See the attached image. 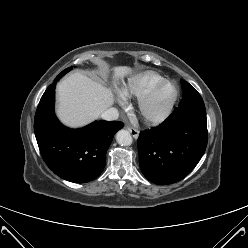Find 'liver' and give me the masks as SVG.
<instances>
[{
  "mask_svg": "<svg viewBox=\"0 0 248 248\" xmlns=\"http://www.w3.org/2000/svg\"><path fill=\"white\" fill-rule=\"evenodd\" d=\"M131 71L128 67H116L114 76L121 78ZM56 91L57 115L70 127H81L92 122L114 102L111 89L79 72L62 80Z\"/></svg>",
  "mask_w": 248,
  "mask_h": 248,
  "instance_id": "liver-1",
  "label": "liver"
}]
</instances>
